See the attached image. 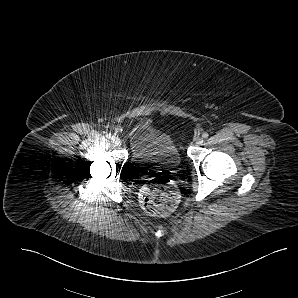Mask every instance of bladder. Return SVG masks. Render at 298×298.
Returning a JSON list of instances; mask_svg holds the SVG:
<instances>
[{
    "label": "bladder",
    "mask_w": 298,
    "mask_h": 298,
    "mask_svg": "<svg viewBox=\"0 0 298 298\" xmlns=\"http://www.w3.org/2000/svg\"><path fill=\"white\" fill-rule=\"evenodd\" d=\"M128 141L132 159L137 162L169 168L180 163V153L173 139L150 122H136L129 131Z\"/></svg>",
    "instance_id": "bladder-1"
}]
</instances>
